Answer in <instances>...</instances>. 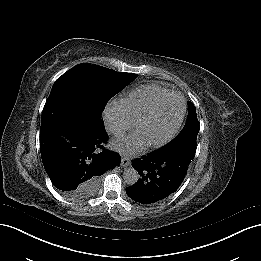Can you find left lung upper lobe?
<instances>
[{
	"label": "left lung upper lobe",
	"mask_w": 261,
	"mask_h": 261,
	"mask_svg": "<svg viewBox=\"0 0 261 261\" xmlns=\"http://www.w3.org/2000/svg\"><path fill=\"white\" fill-rule=\"evenodd\" d=\"M188 111L186 124L180 134L166 147L183 146L189 150L196 151V139L199 132V123L196 116V108L192 102H188Z\"/></svg>",
	"instance_id": "5c2ea615"
}]
</instances>
